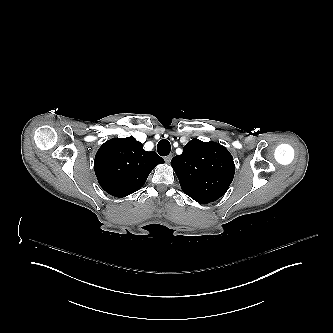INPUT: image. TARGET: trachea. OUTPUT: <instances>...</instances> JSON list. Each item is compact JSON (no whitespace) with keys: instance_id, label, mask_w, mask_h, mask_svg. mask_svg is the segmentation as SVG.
I'll use <instances>...</instances> for the list:
<instances>
[{"instance_id":"3493384b","label":"trachea","mask_w":333,"mask_h":333,"mask_svg":"<svg viewBox=\"0 0 333 333\" xmlns=\"http://www.w3.org/2000/svg\"><path fill=\"white\" fill-rule=\"evenodd\" d=\"M157 150L160 156H167L171 151V146L169 141L166 139L160 140L158 143Z\"/></svg>"}]
</instances>
